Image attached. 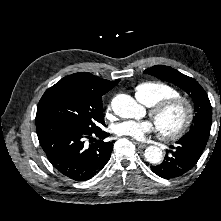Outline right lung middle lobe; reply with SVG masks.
<instances>
[{
    "label": "right lung middle lobe",
    "instance_id": "obj_1",
    "mask_svg": "<svg viewBox=\"0 0 221 221\" xmlns=\"http://www.w3.org/2000/svg\"><path fill=\"white\" fill-rule=\"evenodd\" d=\"M37 113L67 121L87 132L102 130V96L73 88H61L44 93Z\"/></svg>",
    "mask_w": 221,
    "mask_h": 221
}]
</instances>
